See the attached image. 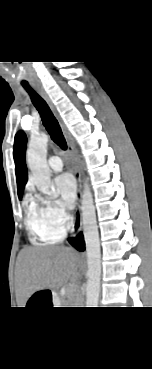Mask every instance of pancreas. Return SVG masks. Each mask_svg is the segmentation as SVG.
<instances>
[{"label": "pancreas", "instance_id": "obj_1", "mask_svg": "<svg viewBox=\"0 0 152 369\" xmlns=\"http://www.w3.org/2000/svg\"><path fill=\"white\" fill-rule=\"evenodd\" d=\"M70 297H72V295H69ZM70 302H73V303H75V304H79V302H80V300H79V298H73L72 297V300L70 301Z\"/></svg>", "mask_w": 152, "mask_h": 369}]
</instances>
